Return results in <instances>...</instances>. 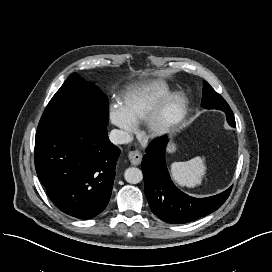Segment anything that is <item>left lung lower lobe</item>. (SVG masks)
Here are the masks:
<instances>
[{
	"instance_id": "0a47b994",
	"label": "left lung lower lobe",
	"mask_w": 272,
	"mask_h": 272,
	"mask_svg": "<svg viewBox=\"0 0 272 272\" xmlns=\"http://www.w3.org/2000/svg\"><path fill=\"white\" fill-rule=\"evenodd\" d=\"M225 113L232 126L235 120L232 110ZM167 141L166 136L155 139L142 159L145 195L152 212L167 223L183 224L217 210L230 195L232 187L206 198H194L180 191L171 181L165 164Z\"/></svg>"
}]
</instances>
